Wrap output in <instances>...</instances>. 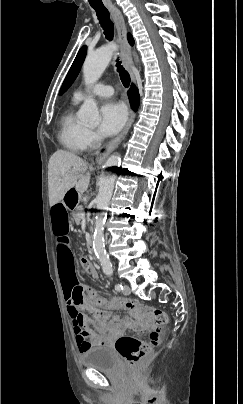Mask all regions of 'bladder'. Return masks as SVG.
I'll list each match as a JSON object with an SVG mask.
<instances>
[{
    "instance_id": "bladder-1",
    "label": "bladder",
    "mask_w": 243,
    "mask_h": 404,
    "mask_svg": "<svg viewBox=\"0 0 243 404\" xmlns=\"http://www.w3.org/2000/svg\"><path fill=\"white\" fill-rule=\"evenodd\" d=\"M80 362L86 368L108 374H115L120 369L115 353L105 346H94L86 349L80 355Z\"/></svg>"
}]
</instances>
